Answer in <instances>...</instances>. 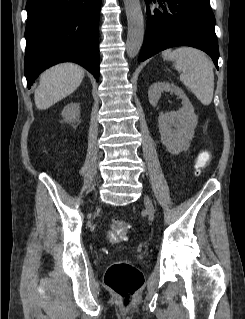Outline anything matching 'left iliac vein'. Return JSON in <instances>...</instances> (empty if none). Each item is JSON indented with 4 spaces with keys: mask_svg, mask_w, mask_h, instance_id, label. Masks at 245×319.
Listing matches in <instances>:
<instances>
[{
    "mask_svg": "<svg viewBox=\"0 0 245 319\" xmlns=\"http://www.w3.org/2000/svg\"><path fill=\"white\" fill-rule=\"evenodd\" d=\"M144 204L148 211L149 216L153 218L155 216V208L153 206L151 199L148 196H145Z\"/></svg>",
    "mask_w": 245,
    "mask_h": 319,
    "instance_id": "1",
    "label": "left iliac vein"
}]
</instances>
